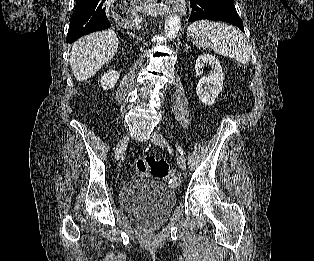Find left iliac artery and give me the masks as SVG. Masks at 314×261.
Masks as SVG:
<instances>
[{
  "label": "left iliac artery",
  "instance_id": "44dca946",
  "mask_svg": "<svg viewBox=\"0 0 314 261\" xmlns=\"http://www.w3.org/2000/svg\"><path fill=\"white\" fill-rule=\"evenodd\" d=\"M175 146L177 148V150L179 151V153L184 156V152H183V149L178 145V143H175Z\"/></svg>",
  "mask_w": 314,
  "mask_h": 261
}]
</instances>
